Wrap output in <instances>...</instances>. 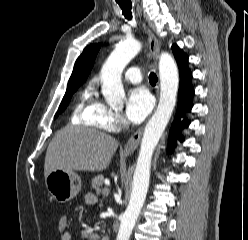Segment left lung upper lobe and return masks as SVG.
Here are the masks:
<instances>
[{"label": "left lung upper lobe", "mask_w": 248, "mask_h": 240, "mask_svg": "<svg viewBox=\"0 0 248 240\" xmlns=\"http://www.w3.org/2000/svg\"><path fill=\"white\" fill-rule=\"evenodd\" d=\"M172 49H173V53H174V56H175L177 62H179V61L182 60L185 56H187L183 51H181V50L179 49V47H178L176 44H173Z\"/></svg>", "instance_id": "1"}]
</instances>
